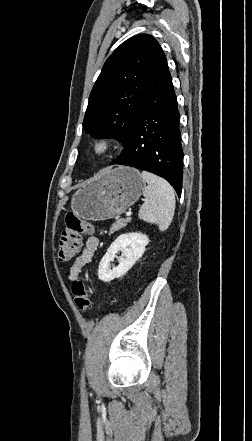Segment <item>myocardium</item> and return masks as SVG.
Segmentation results:
<instances>
[{"label":"myocardium","mask_w":252,"mask_h":441,"mask_svg":"<svg viewBox=\"0 0 252 441\" xmlns=\"http://www.w3.org/2000/svg\"><path fill=\"white\" fill-rule=\"evenodd\" d=\"M90 153L96 158H103L113 150V142L106 137L95 139L89 147Z\"/></svg>","instance_id":"1"}]
</instances>
